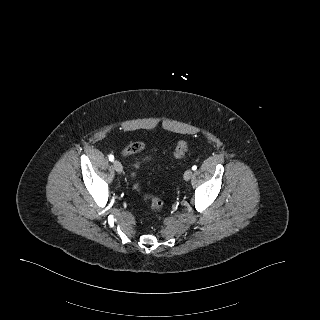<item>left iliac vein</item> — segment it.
I'll return each mask as SVG.
<instances>
[{"label":"left iliac vein","mask_w":320,"mask_h":320,"mask_svg":"<svg viewBox=\"0 0 320 320\" xmlns=\"http://www.w3.org/2000/svg\"><path fill=\"white\" fill-rule=\"evenodd\" d=\"M192 174L193 172L191 169L186 170L184 173V180L186 181L190 180V178L192 177Z\"/></svg>","instance_id":"left-iliac-vein-1"}]
</instances>
